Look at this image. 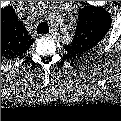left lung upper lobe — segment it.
<instances>
[{
    "mask_svg": "<svg viewBox=\"0 0 121 121\" xmlns=\"http://www.w3.org/2000/svg\"><path fill=\"white\" fill-rule=\"evenodd\" d=\"M110 26V14L104 8L91 5L83 7L79 12L73 42L65 46V50L71 55L85 54L103 40Z\"/></svg>",
    "mask_w": 121,
    "mask_h": 121,
    "instance_id": "5c2ea615",
    "label": "left lung upper lobe"
}]
</instances>
